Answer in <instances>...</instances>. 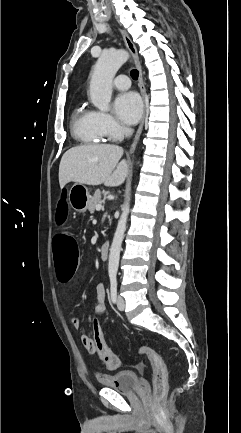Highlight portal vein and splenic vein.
Here are the masks:
<instances>
[{"label": "portal vein and splenic vein", "instance_id": "obj_1", "mask_svg": "<svg viewBox=\"0 0 241 433\" xmlns=\"http://www.w3.org/2000/svg\"><path fill=\"white\" fill-rule=\"evenodd\" d=\"M101 209H102L101 204L96 205V210H97V211H100Z\"/></svg>", "mask_w": 241, "mask_h": 433}]
</instances>
